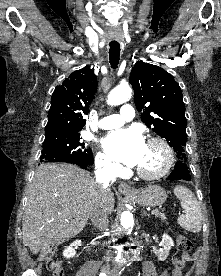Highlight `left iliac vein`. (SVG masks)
<instances>
[{"label":"left iliac vein","mask_w":221,"mask_h":276,"mask_svg":"<svg viewBox=\"0 0 221 276\" xmlns=\"http://www.w3.org/2000/svg\"><path fill=\"white\" fill-rule=\"evenodd\" d=\"M109 276H118V274H116V273H109Z\"/></svg>","instance_id":"4c4485c4"}]
</instances>
